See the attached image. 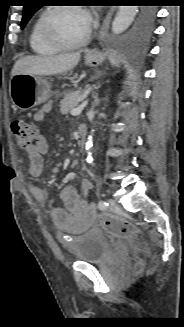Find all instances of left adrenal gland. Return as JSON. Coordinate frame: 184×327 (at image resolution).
Returning a JSON list of instances; mask_svg holds the SVG:
<instances>
[{"label":"left adrenal gland","instance_id":"left-adrenal-gland-1","mask_svg":"<svg viewBox=\"0 0 184 327\" xmlns=\"http://www.w3.org/2000/svg\"><path fill=\"white\" fill-rule=\"evenodd\" d=\"M95 104H98V99H97V95L95 96Z\"/></svg>","mask_w":184,"mask_h":327}]
</instances>
